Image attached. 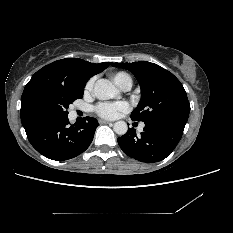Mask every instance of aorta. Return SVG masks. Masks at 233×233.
Listing matches in <instances>:
<instances>
[{"label": "aorta", "instance_id": "1", "mask_svg": "<svg viewBox=\"0 0 233 233\" xmlns=\"http://www.w3.org/2000/svg\"><path fill=\"white\" fill-rule=\"evenodd\" d=\"M94 96L99 100H108L118 96L117 88L106 79H100L96 82L94 87ZM115 133L124 135L128 131L127 123L124 121H117L113 127Z\"/></svg>", "mask_w": 233, "mask_h": 233}]
</instances>
